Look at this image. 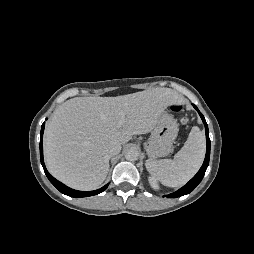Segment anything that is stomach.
Returning <instances> with one entry per match:
<instances>
[{
	"label": "stomach",
	"instance_id": "obj_1",
	"mask_svg": "<svg viewBox=\"0 0 254 254\" xmlns=\"http://www.w3.org/2000/svg\"><path fill=\"white\" fill-rule=\"evenodd\" d=\"M178 123L172 115L163 112L154 126L144 148L152 159L164 157L172 151V145L178 134Z\"/></svg>",
	"mask_w": 254,
	"mask_h": 254
}]
</instances>
